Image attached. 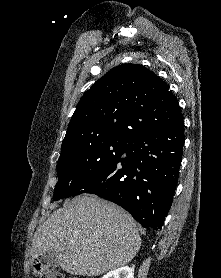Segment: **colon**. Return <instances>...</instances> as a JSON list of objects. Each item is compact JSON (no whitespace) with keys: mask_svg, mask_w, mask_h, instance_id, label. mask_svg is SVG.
Segmentation results:
<instances>
[{"mask_svg":"<svg viewBox=\"0 0 221 278\" xmlns=\"http://www.w3.org/2000/svg\"><path fill=\"white\" fill-rule=\"evenodd\" d=\"M32 269L38 278H64L58 269L45 264L38 258L32 260Z\"/></svg>","mask_w":221,"mask_h":278,"instance_id":"1","label":"colon"}]
</instances>
